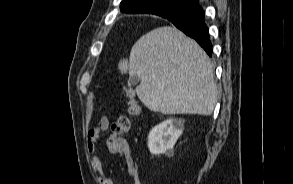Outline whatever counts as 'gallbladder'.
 <instances>
[{
  "mask_svg": "<svg viewBox=\"0 0 293 184\" xmlns=\"http://www.w3.org/2000/svg\"><path fill=\"white\" fill-rule=\"evenodd\" d=\"M139 77L137 76V75H133V76H131L130 78H129V85L130 86H135V85H137L138 84V82H139Z\"/></svg>",
  "mask_w": 293,
  "mask_h": 184,
  "instance_id": "obj_1",
  "label": "gallbladder"
}]
</instances>
